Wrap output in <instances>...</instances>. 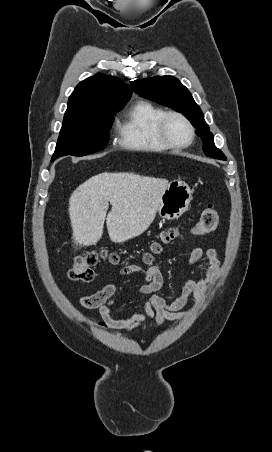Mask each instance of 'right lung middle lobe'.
Wrapping results in <instances>:
<instances>
[{
	"mask_svg": "<svg viewBox=\"0 0 272 452\" xmlns=\"http://www.w3.org/2000/svg\"><path fill=\"white\" fill-rule=\"evenodd\" d=\"M125 104L110 106L89 116L64 119L51 161L60 156H84L104 149L109 141L113 115Z\"/></svg>",
	"mask_w": 272,
	"mask_h": 452,
	"instance_id": "1",
	"label": "right lung middle lobe"
}]
</instances>
